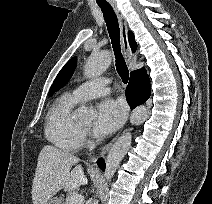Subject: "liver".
Wrapping results in <instances>:
<instances>
[{
    "label": "liver",
    "mask_w": 212,
    "mask_h": 204,
    "mask_svg": "<svg viewBox=\"0 0 212 204\" xmlns=\"http://www.w3.org/2000/svg\"><path fill=\"white\" fill-rule=\"evenodd\" d=\"M73 154L46 145L39 153L35 176L32 183L33 204H46L58 191H74L88 180L81 165Z\"/></svg>",
    "instance_id": "liver-1"
}]
</instances>
